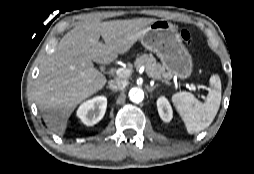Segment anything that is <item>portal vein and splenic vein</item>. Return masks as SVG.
Instances as JSON below:
<instances>
[{
  "mask_svg": "<svg viewBox=\"0 0 254 174\" xmlns=\"http://www.w3.org/2000/svg\"><path fill=\"white\" fill-rule=\"evenodd\" d=\"M131 73H132V71L128 68H118V69L115 70V74L119 78H127L131 75ZM165 83L171 84V82H169V81H165ZM190 88H191L192 91H194V92L196 91L195 85H191Z\"/></svg>",
  "mask_w": 254,
  "mask_h": 174,
  "instance_id": "18ae733b",
  "label": "portal vein and splenic vein"
}]
</instances>
